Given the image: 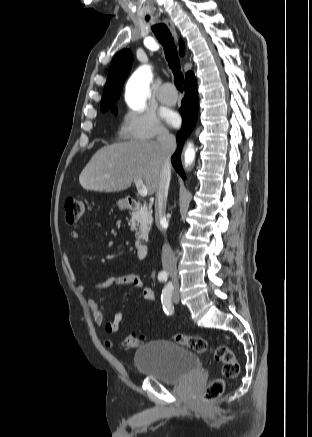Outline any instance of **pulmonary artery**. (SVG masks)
<instances>
[{
  "mask_svg": "<svg viewBox=\"0 0 312 437\" xmlns=\"http://www.w3.org/2000/svg\"><path fill=\"white\" fill-rule=\"evenodd\" d=\"M169 83L164 84L158 93V100L165 105H174L177 101V93Z\"/></svg>",
  "mask_w": 312,
  "mask_h": 437,
  "instance_id": "pulmonary-artery-1",
  "label": "pulmonary artery"
}]
</instances>
